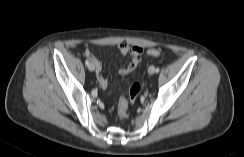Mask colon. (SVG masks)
<instances>
[{"mask_svg": "<svg viewBox=\"0 0 244 157\" xmlns=\"http://www.w3.org/2000/svg\"><path fill=\"white\" fill-rule=\"evenodd\" d=\"M161 50L157 48H152L147 51L149 56L157 57L161 55ZM141 91V86L139 83H133L129 89V100L126 98H121L118 104V115L120 118L124 119L127 117V111L129 103H134Z\"/></svg>", "mask_w": 244, "mask_h": 157, "instance_id": "5ec220e1", "label": "colon"}]
</instances>
